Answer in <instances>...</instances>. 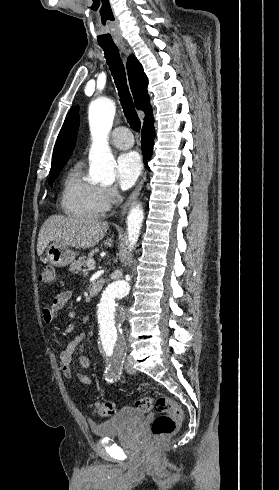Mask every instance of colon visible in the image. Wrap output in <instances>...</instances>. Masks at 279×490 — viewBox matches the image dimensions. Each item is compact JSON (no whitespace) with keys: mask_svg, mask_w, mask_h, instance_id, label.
Wrapping results in <instances>:
<instances>
[{"mask_svg":"<svg viewBox=\"0 0 279 490\" xmlns=\"http://www.w3.org/2000/svg\"><path fill=\"white\" fill-rule=\"evenodd\" d=\"M55 281L54 267L46 265L39 276V282L43 285H53ZM152 407L153 400L150 397H143L137 400V408L142 412H149ZM155 409L157 415L151 427L155 442H172L177 423L183 417V411L170 396L157 397ZM93 412L101 417L112 416L114 414V406L111 402H95Z\"/></svg>","mask_w":279,"mask_h":490,"instance_id":"colon-1","label":"colon"}]
</instances>
